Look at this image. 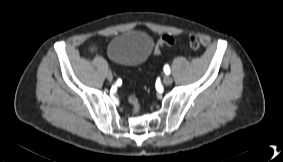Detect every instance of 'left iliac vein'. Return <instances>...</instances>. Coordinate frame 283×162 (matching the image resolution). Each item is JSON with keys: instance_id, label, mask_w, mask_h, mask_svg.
<instances>
[{"instance_id": "4c4485c4", "label": "left iliac vein", "mask_w": 283, "mask_h": 162, "mask_svg": "<svg viewBox=\"0 0 283 162\" xmlns=\"http://www.w3.org/2000/svg\"><path fill=\"white\" fill-rule=\"evenodd\" d=\"M163 83L165 84V85H171L172 83H173V79H172V77H170V76H164V78H163Z\"/></svg>"}]
</instances>
